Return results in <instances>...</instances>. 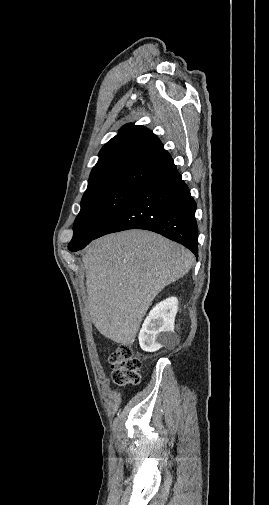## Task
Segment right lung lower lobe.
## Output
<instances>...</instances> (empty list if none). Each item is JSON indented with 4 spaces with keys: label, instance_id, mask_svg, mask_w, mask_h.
<instances>
[{
    "label": "right lung lower lobe",
    "instance_id": "98d812e1",
    "mask_svg": "<svg viewBox=\"0 0 269 505\" xmlns=\"http://www.w3.org/2000/svg\"><path fill=\"white\" fill-rule=\"evenodd\" d=\"M196 208L189 188L173 164L138 188L96 238L128 229H145L176 241L197 255Z\"/></svg>",
    "mask_w": 269,
    "mask_h": 505
}]
</instances>
